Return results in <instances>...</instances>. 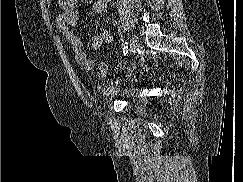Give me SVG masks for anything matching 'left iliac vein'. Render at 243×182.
<instances>
[{
  "instance_id": "4c4485c4",
  "label": "left iliac vein",
  "mask_w": 243,
  "mask_h": 182,
  "mask_svg": "<svg viewBox=\"0 0 243 182\" xmlns=\"http://www.w3.org/2000/svg\"><path fill=\"white\" fill-rule=\"evenodd\" d=\"M130 48H131L132 52H134V53L139 50V48H140V41H139L138 37L134 36V37L131 38ZM117 84H118V82H116V84L111 87V89H110L111 93L115 91V88H116Z\"/></svg>"
}]
</instances>
